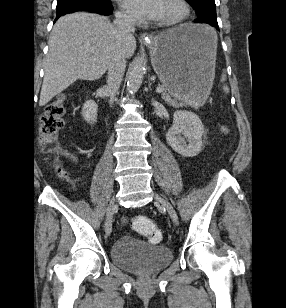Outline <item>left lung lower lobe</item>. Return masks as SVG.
Listing matches in <instances>:
<instances>
[{"label": "left lung lower lobe", "instance_id": "obj_1", "mask_svg": "<svg viewBox=\"0 0 286 308\" xmlns=\"http://www.w3.org/2000/svg\"><path fill=\"white\" fill-rule=\"evenodd\" d=\"M194 22L210 24L219 30L216 10H206L200 14H197V18L194 20Z\"/></svg>", "mask_w": 286, "mask_h": 308}]
</instances>
